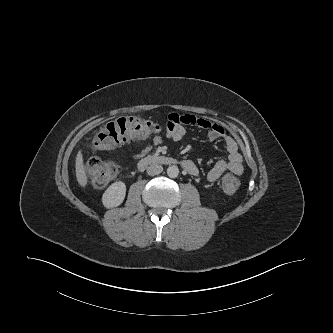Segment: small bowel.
<instances>
[{"label": "small bowel", "mask_w": 333, "mask_h": 333, "mask_svg": "<svg viewBox=\"0 0 333 333\" xmlns=\"http://www.w3.org/2000/svg\"><path fill=\"white\" fill-rule=\"evenodd\" d=\"M186 126H196L207 130L208 139L212 142L222 140L225 144L228 157L227 159L219 160L212 169H210L205 179L209 183L216 182L224 172L230 171L235 175H240L243 172L242 156L238 151L236 141L228 134H226L223 127L216 123H211L204 118H197L192 115H182L172 113L169 115L167 122V138L174 142H179L184 137ZM162 142L161 136H155L152 140L148 141L145 147L136 155L137 158L142 157L149 152L154 146ZM183 167L192 175L199 174L196 164L189 159L183 161Z\"/></svg>", "instance_id": "small-bowel-1"}]
</instances>
